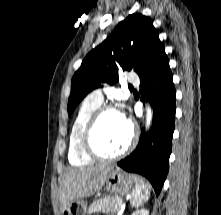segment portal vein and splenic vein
Wrapping results in <instances>:
<instances>
[{
  "label": "portal vein and splenic vein",
  "mask_w": 221,
  "mask_h": 215,
  "mask_svg": "<svg viewBox=\"0 0 221 215\" xmlns=\"http://www.w3.org/2000/svg\"><path fill=\"white\" fill-rule=\"evenodd\" d=\"M119 203L122 205V199H119Z\"/></svg>",
  "instance_id": "obj_1"
}]
</instances>
